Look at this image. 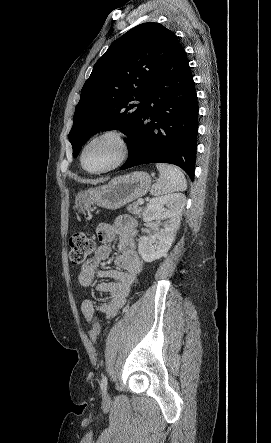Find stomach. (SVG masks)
<instances>
[{
  "label": "stomach",
  "instance_id": "1",
  "mask_svg": "<svg viewBox=\"0 0 271 443\" xmlns=\"http://www.w3.org/2000/svg\"><path fill=\"white\" fill-rule=\"evenodd\" d=\"M151 178L147 172H132L127 176H119L111 180L107 186L90 188L75 196V210L89 212L91 206H101L106 210H118L125 204L142 198L151 186Z\"/></svg>",
  "mask_w": 271,
  "mask_h": 443
}]
</instances>
